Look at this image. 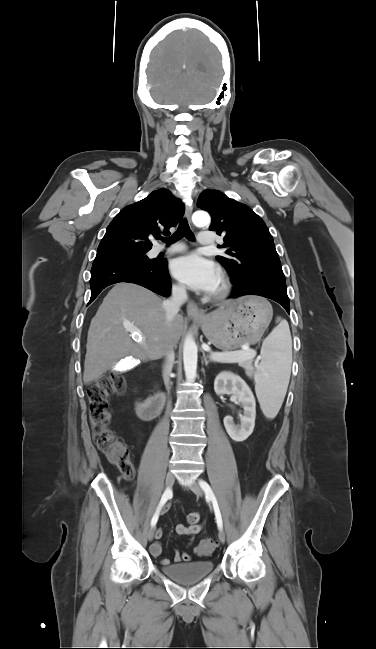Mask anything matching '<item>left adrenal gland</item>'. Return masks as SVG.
I'll list each match as a JSON object with an SVG mask.
<instances>
[{
	"instance_id": "obj_1",
	"label": "left adrenal gland",
	"mask_w": 376,
	"mask_h": 649,
	"mask_svg": "<svg viewBox=\"0 0 376 649\" xmlns=\"http://www.w3.org/2000/svg\"><path fill=\"white\" fill-rule=\"evenodd\" d=\"M203 358H204L205 365L207 366L209 362H211V360H208L205 354H203Z\"/></svg>"
}]
</instances>
